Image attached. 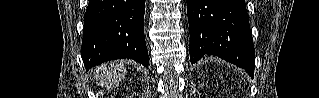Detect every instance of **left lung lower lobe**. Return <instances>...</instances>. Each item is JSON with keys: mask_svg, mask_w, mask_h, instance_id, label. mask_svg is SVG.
<instances>
[{"mask_svg": "<svg viewBox=\"0 0 319 98\" xmlns=\"http://www.w3.org/2000/svg\"><path fill=\"white\" fill-rule=\"evenodd\" d=\"M190 60L216 55L254 77L255 53L245 0H187Z\"/></svg>", "mask_w": 319, "mask_h": 98, "instance_id": "left-lung-lower-lobe-1", "label": "left lung lower lobe"}]
</instances>
